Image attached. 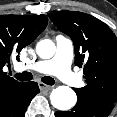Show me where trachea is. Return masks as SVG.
<instances>
[{"label": "trachea", "instance_id": "trachea-1", "mask_svg": "<svg viewBox=\"0 0 117 117\" xmlns=\"http://www.w3.org/2000/svg\"><path fill=\"white\" fill-rule=\"evenodd\" d=\"M14 76L20 81H30L33 77L30 72L17 73ZM41 81L47 85H53L55 83V80L49 76L42 77Z\"/></svg>", "mask_w": 117, "mask_h": 117}]
</instances>
